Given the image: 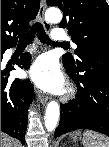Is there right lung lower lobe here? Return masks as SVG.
Returning <instances> with one entry per match:
<instances>
[{
	"mask_svg": "<svg viewBox=\"0 0 109 147\" xmlns=\"http://www.w3.org/2000/svg\"><path fill=\"white\" fill-rule=\"evenodd\" d=\"M15 43L1 47V60L5 50L15 46ZM30 61L31 55L25 53L16 64L28 69ZM14 69V67L1 69V131L25 144L27 112L34 98V90L29 80H8L7 73Z\"/></svg>",
	"mask_w": 109,
	"mask_h": 147,
	"instance_id": "98d812e1",
	"label": "right lung lower lobe"
}]
</instances>
